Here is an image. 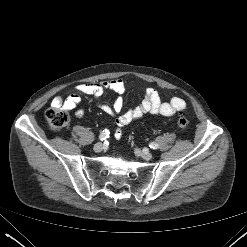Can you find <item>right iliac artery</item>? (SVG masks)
I'll return each mask as SVG.
<instances>
[{"label": "right iliac artery", "mask_w": 247, "mask_h": 247, "mask_svg": "<svg viewBox=\"0 0 247 247\" xmlns=\"http://www.w3.org/2000/svg\"><path fill=\"white\" fill-rule=\"evenodd\" d=\"M109 134H110V132H109L107 129H105V130H103V131L101 132V134H100V136H99V139H100L101 141H103V140H105V139H107V138L109 137Z\"/></svg>", "instance_id": "right-iliac-artery-1"}]
</instances>
